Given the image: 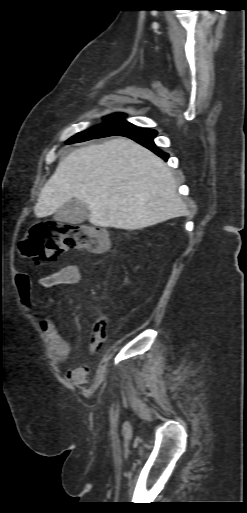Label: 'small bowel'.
Wrapping results in <instances>:
<instances>
[{"mask_svg":"<svg viewBox=\"0 0 247 513\" xmlns=\"http://www.w3.org/2000/svg\"><path fill=\"white\" fill-rule=\"evenodd\" d=\"M80 280L81 272L79 267L77 265H67L45 276L39 285L42 288H50L59 284H76ZM16 282L24 303L38 317L37 312L34 311L31 305L32 285L30 275L27 272H20L17 274ZM37 322L49 344L52 360L55 363L65 362L70 356V343L59 333L56 324L50 318L38 317ZM67 376L71 382L80 385L88 377V372L83 364L71 369Z\"/></svg>","mask_w":247,"mask_h":513,"instance_id":"c3829d8e","label":"small bowel"}]
</instances>
